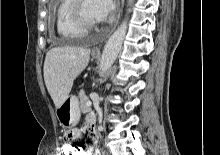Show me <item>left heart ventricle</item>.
Wrapping results in <instances>:
<instances>
[{"label": "left heart ventricle", "instance_id": "obj_1", "mask_svg": "<svg viewBox=\"0 0 220 155\" xmlns=\"http://www.w3.org/2000/svg\"><path fill=\"white\" fill-rule=\"evenodd\" d=\"M82 9L86 18L92 21H97L93 12V0H83Z\"/></svg>", "mask_w": 220, "mask_h": 155}]
</instances>
